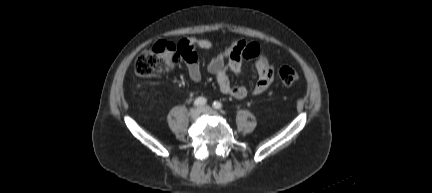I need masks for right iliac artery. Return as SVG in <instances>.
<instances>
[{
    "mask_svg": "<svg viewBox=\"0 0 432 193\" xmlns=\"http://www.w3.org/2000/svg\"><path fill=\"white\" fill-rule=\"evenodd\" d=\"M206 102H207V100L204 97H198L194 101V106H203L206 104Z\"/></svg>",
    "mask_w": 432,
    "mask_h": 193,
    "instance_id": "1",
    "label": "right iliac artery"
}]
</instances>
